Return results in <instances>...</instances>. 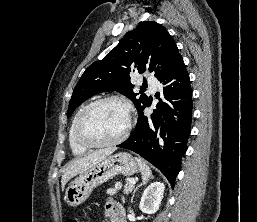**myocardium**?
Returning <instances> with one entry per match:
<instances>
[{
    "instance_id": "myocardium-1",
    "label": "myocardium",
    "mask_w": 257,
    "mask_h": 222,
    "mask_svg": "<svg viewBox=\"0 0 257 222\" xmlns=\"http://www.w3.org/2000/svg\"><path fill=\"white\" fill-rule=\"evenodd\" d=\"M109 102H118L126 108L127 113H128V120H127L126 128L117 138H115L111 141H104V142L93 141V140L89 139L88 137H86L83 133L82 127H83L84 121L87 118V116L96 107H98L102 104H105V103H109ZM132 126H133V111H132V106H131L130 102L127 99H125L124 97L112 95V96H107V97L98 99V100L92 102L91 104H89L88 106H86V108L81 112V114L79 115V117L76 121L74 134H75L76 141L84 147L104 148V147L116 146V145L120 144L121 142H123L129 136Z\"/></svg>"
}]
</instances>
